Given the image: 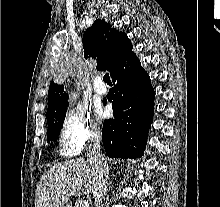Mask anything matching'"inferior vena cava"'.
I'll list each match as a JSON object with an SVG mask.
<instances>
[{"label": "inferior vena cava", "instance_id": "602c4592", "mask_svg": "<svg viewBox=\"0 0 220 207\" xmlns=\"http://www.w3.org/2000/svg\"><path fill=\"white\" fill-rule=\"evenodd\" d=\"M88 147V161L95 167L97 172V181L94 187L93 196L95 198V207H104L103 199L108 191L109 168L105 157L101 153V136L99 133H93Z\"/></svg>", "mask_w": 220, "mask_h": 207}]
</instances>
